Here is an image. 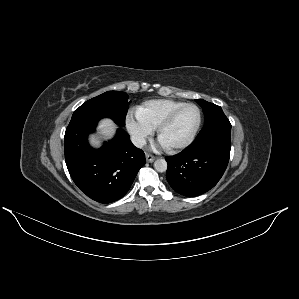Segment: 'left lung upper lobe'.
<instances>
[{
    "label": "left lung upper lobe",
    "mask_w": 299,
    "mask_h": 299,
    "mask_svg": "<svg viewBox=\"0 0 299 299\" xmlns=\"http://www.w3.org/2000/svg\"><path fill=\"white\" fill-rule=\"evenodd\" d=\"M203 109L204 116H205V125L210 122L216 120H226L227 117L225 116L222 108L217 106L213 103L207 102L203 99H196L195 100Z\"/></svg>",
    "instance_id": "obj_1"
}]
</instances>
